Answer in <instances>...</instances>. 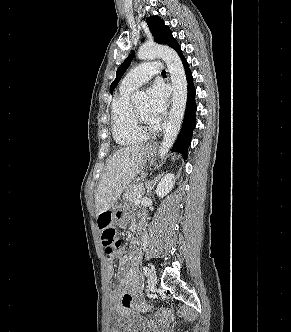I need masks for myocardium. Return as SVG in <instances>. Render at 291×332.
I'll list each match as a JSON object with an SVG mask.
<instances>
[{
    "mask_svg": "<svg viewBox=\"0 0 291 332\" xmlns=\"http://www.w3.org/2000/svg\"><path fill=\"white\" fill-rule=\"evenodd\" d=\"M132 111L136 126L142 133L147 134L153 131V127L143 120L135 106H133Z\"/></svg>",
    "mask_w": 291,
    "mask_h": 332,
    "instance_id": "1",
    "label": "myocardium"
}]
</instances>
